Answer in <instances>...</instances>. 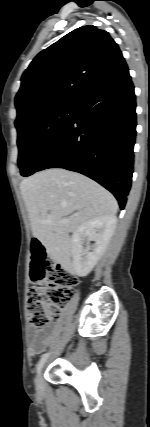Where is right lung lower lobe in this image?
<instances>
[{
  "mask_svg": "<svg viewBox=\"0 0 150 427\" xmlns=\"http://www.w3.org/2000/svg\"><path fill=\"white\" fill-rule=\"evenodd\" d=\"M135 108L126 69L77 106L71 124L36 171L64 168L82 173L112 192L124 209L133 173Z\"/></svg>",
  "mask_w": 150,
  "mask_h": 427,
  "instance_id": "right-lung-lower-lobe-1",
  "label": "right lung lower lobe"
}]
</instances>
